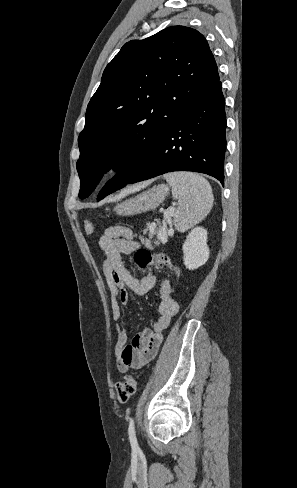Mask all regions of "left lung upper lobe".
Instances as JSON below:
<instances>
[{
    "mask_svg": "<svg viewBox=\"0 0 297 488\" xmlns=\"http://www.w3.org/2000/svg\"><path fill=\"white\" fill-rule=\"evenodd\" d=\"M218 82L212 52L195 29L173 26L124 44L103 72L78 137L79 197L89 196L111 168L118 174L98 200L124 187L182 115Z\"/></svg>",
    "mask_w": 297,
    "mask_h": 488,
    "instance_id": "5c2ea615",
    "label": "left lung upper lobe"
}]
</instances>
